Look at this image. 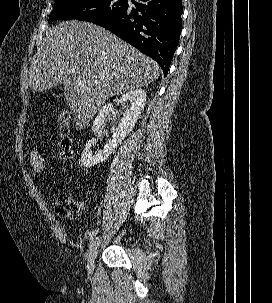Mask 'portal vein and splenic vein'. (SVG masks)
Masks as SVG:
<instances>
[{"label":"portal vein and splenic vein","mask_w":272,"mask_h":303,"mask_svg":"<svg viewBox=\"0 0 272 303\" xmlns=\"http://www.w3.org/2000/svg\"><path fill=\"white\" fill-rule=\"evenodd\" d=\"M79 83L85 82V80H78Z\"/></svg>","instance_id":"1"}]
</instances>
